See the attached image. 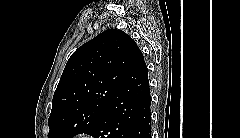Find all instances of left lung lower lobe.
Segmentation results:
<instances>
[{
    "mask_svg": "<svg viewBox=\"0 0 240 138\" xmlns=\"http://www.w3.org/2000/svg\"><path fill=\"white\" fill-rule=\"evenodd\" d=\"M90 135L151 138L148 70L141 51Z\"/></svg>",
    "mask_w": 240,
    "mask_h": 138,
    "instance_id": "1",
    "label": "left lung lower lobe"
}]
</instances>
